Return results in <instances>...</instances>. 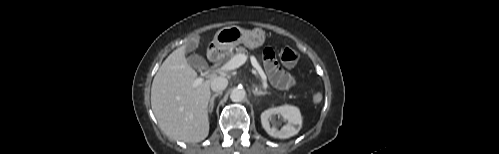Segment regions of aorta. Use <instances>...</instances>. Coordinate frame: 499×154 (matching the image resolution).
I'll list each match as a JSON object with an SVG mask.
<instances>
[{"label": "aorta", "instance_id": "1", "mask_svg": "<svg viewBox=\"0 0 499 154\" xmlns=\"http://www.w3.org/2000/svg\"><path fill=\"white\" fill-rule=\"evenodd\" d=\"M246 96V92L243 88L236 87L232 90L230 98L233 102H241Z\"/></svg>", "mask_w": 499, "mask_h": 154}]
</instances>
